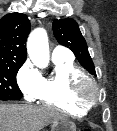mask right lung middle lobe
<instances>
[{
    "label": "right lung middle lobe",
    "mask_w": 117,
    "mask_h": 131,
    "mask_svg": "<svg viewBox=\"0 0 117 131\" xmlns=\"http://www.w3.org/2000/svg\"><path fill=\"white\" fill-rule=\"evenodd\" d=\"M23 64H0V100H19L22 93L16 82V74Z\"/></svg>",
    "instance_id": "obj_1"
}]
</instances>
